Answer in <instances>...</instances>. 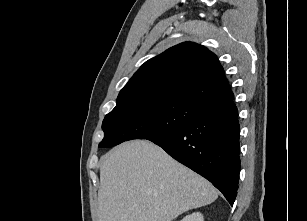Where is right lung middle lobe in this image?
Returning <instances> with one entry per match:
<instances>
[{"label": "right lung middle lobe", "instance_id": "1", "mask_svg": "<svg viewBox=\"0 0 307 221\" xmlns=\"http://www.w3.org/2000/svg\"><path fill=\"white\" fill-rule=\"evenodd\" d=\"M205 109L202 105L167 98L117 102L103 120L104 139L99 147H112L127 140L168 134L193 121Z\"/></svg>", "mask_w": 307, "mask_h": 221}]
</instances>
